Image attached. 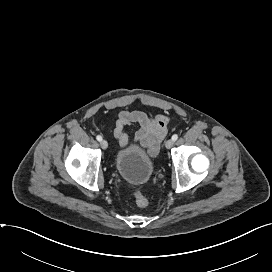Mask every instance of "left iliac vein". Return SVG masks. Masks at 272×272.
I'll return each instance as SVG.
<instances>
[{
	"instance_id": "4c4485c4",
	"label": "left iliac vein",
	"mask_w": 272,
	"mask_h": 272,
	"mask_svg": "<svg viewBox=\"0 0 272 272\" xmlns=\"http://www.w3.org/2000/svg\"><path fill=\"white\" fill-rule=\"evenodd\" d=\"M174 141L173 140H167L165 143V146L167 149H170L173 146Z\"/></svg>"
}]
</instances>
